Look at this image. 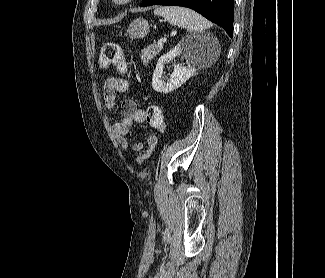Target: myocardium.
Instances as JSON below:
<instances>
[{
  "mask_svg": "<svg viewBox=\"0 0 325 278\" xmlns=\"http://www.w3.org/2000/svg\"><path fill=\"white\" fill-rule=\"evenodd\" d=\"M133 0H111V2L116 6H124L126 4H129Z\"/></svg>",
  "mask_w": 325,
  "mask_h": 278,
  "instance_id": "f54148a6",
  "label": "myocardium"
}]
</instances>
